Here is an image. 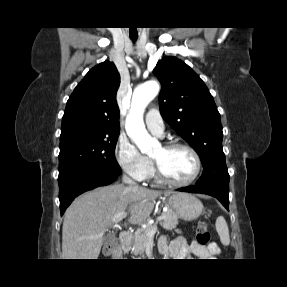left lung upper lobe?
Instances as JSON below:
<instances>
[{
  "label": "left lung upper lobe",
  "mask_w": 287,
  "mask_h": 287,
  "mask_svg": "<svg viewBox=\"0 0 287 287\" xmlns=\"http://www.w3.org/2000/svg\"><path fill=\"white\" fill-rule=\"evenodd\" d=\"M153 73L162 85V117L200 156L204 170L196 185L229 190L220 114L208 88L187 64L175 57L158 61Z\"/></svg>",
  "instance_id": "obj_1"
}]
</instances>
